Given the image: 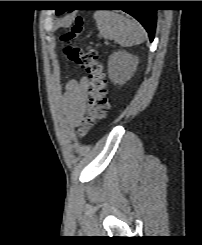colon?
<instances>
[{
	"label": "colon",
	"mask_w": 202,
	"mask_h": 245,
	"mask_svg": "<svg viewBox=\"0 0 202 245\" xmlns=\"http://www.w3.org/2000/svg\"><path fill=\"white\" fill-rule=\"evenodd\" d=\"M82 31L83 21L76 18L62 41L68 44L65 50L68 60L77 68L85 71L89 79L87 101L80 124V132L85 134L106 117L109 103L104 64L99 59L97 52L94 49L83 50L70 44Z\"/></svg>",
	"instance_id": "5ec220e1"
}]
</instances>
